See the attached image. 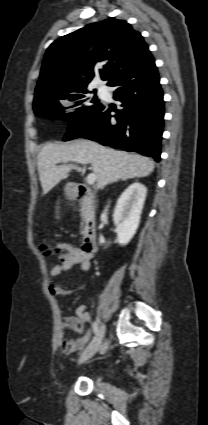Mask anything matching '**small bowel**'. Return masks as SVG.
Returning <instances> with one entry per match:
<instances>
[{"label":"small bowel","mask_w":208,"mask_h":425,"mask_svg":"<svg viewBox=\"0 0 208 425\" xmlns=\"http://www.w3.org/2000/svg\"><path fill=\"white\" fill-rule=\"evenodd\" d=\"M56 248L64 253L60 256L59 263L55 265L50 273L52 279H56L61 273L70 271L75 265H79L82 271L91 268L92 255L69 243H58ZM49 292L54 296H66L72 293L71 290L55 283L49 285ZM91 316L84 305L76 309V315L64 317L62 328L64 330L76 331L80 336L76 339L62 340L61 349L65 354H72L82 350L91 338L90 331H84V325L90 322Z\"/></svg>","instance_id":"obj_1"}]
</instances>
